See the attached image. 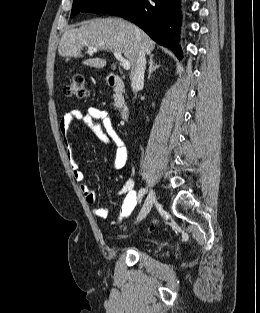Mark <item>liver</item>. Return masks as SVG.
I'll return each instance as SVG.
<instances>
[{"instance_id": "6515ba94", "label": "liver", "mask_w": 260, "mask_h": 313, "mask_svg": "<svg viewBox=\"0 0 260 313\" xmlns=\"http://www.w3.org/2000/svg\"><path fill=\"white\" fill-rule=\"evenodd\" d=\"M144 47L147 54L155 48L154 41L141 29L119 18H99L86 21L79 28H72L63 33L58 53L61 57H83L84 47L110 49L124 54L130 61L134 74L140 48ZM106 60L90 58L83 61L84 65L103 68Z\"/></svg>"}]
</instances>
